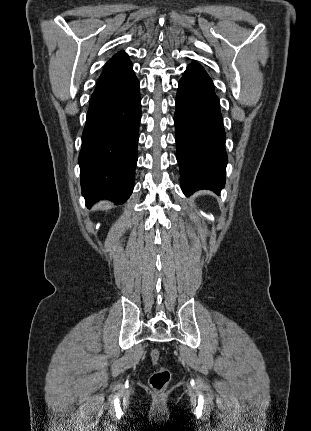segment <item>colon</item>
Segmentation results:
<instances>
[{
  "mask_svg": "<svg viewBox=\"0 0 311 431\" xmlns=\"http://www.w3.org/2000/svg\"><path fill=\"white\" fill-rule=\"evenodd\" d=\"M150 357L153 364L158 365L159 368L151 374L149 384L153 390L162 392L169 384L171 373L166 367L160 366V352L158 349H153Z\"/></svg>",
  "mask_w": 311,
  "mask_h": 431,
  "instance_id": "obj_1",
  "label": "colon"
}]
</instances>
